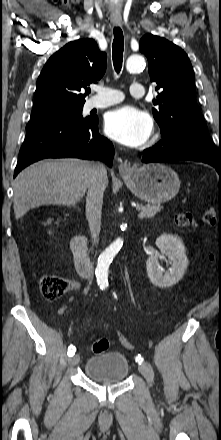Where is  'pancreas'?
Segmentation results:
<instances>
[{"label": "pancreas", "mask_w": 221, "mask_h": 440, "mask_svg": "<svg viewBox=\"0 0 221 440\" xmlns=\"http://www.w3.org/2000/svg\"><path fill=\"white\" fill-rule=\"evenodd\" d=\"M137 209L141 212H143L145 214V218H152L156 215V213H158L161 209L162 206L160 204H155V205H138Z\"/></svg>", "instance_id": "obj_1"}]
</instances>
